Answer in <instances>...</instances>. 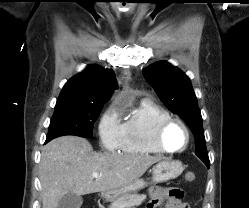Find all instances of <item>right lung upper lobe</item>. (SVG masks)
I'll return each mask as SVG.
<instances>
[{"mask_svg":"<svg viewBox=\"0 0 249 208\" xmlns=\"http://www.w3.org/2000/svg\"><path fill=\"white\" fill-rule=\"evenodd\" d=\"M117 88L112 70L89 65L82 73L71 78L63 87L56 106L69 104L106 103Z\"/></svg>","mask_w":249,"mask_h":208,"instance_id":"right-lung-upper-lobe-1","label":"right lung upper lobe"}]
</instances>
